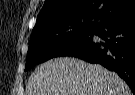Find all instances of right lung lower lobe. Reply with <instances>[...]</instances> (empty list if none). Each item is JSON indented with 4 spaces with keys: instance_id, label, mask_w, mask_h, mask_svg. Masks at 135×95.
<instances>
[{
    "instance_id": "1",
    "label": "right lung lower lobe",
    "mask_w": 135,
    "mask_h": 95,
    "mask_svg": "<svg viewBox=\"0 0 135 95\" xmlns=\"http://www.w3.org/2000/svg\"><path fill=\"white\" fill-rule=\"evenodd\" d=\"M94 35L101 40H93L72 57L101 64L115 71L135 95V15L118 20L110 19L98 27Z\"/></svg>"
}]
</instances>
